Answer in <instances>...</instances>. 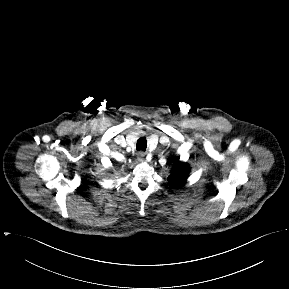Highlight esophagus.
I'll list each match as a JSON object with an SVG mask.
<instances>
[{
    "instance_id": "obj_1",
    "label": "esophagus",
    "mask_w": 289,
    "mask_h": 289,
    "mask_svg": "<svg viewBox=\"0 0 289 289\" xmlns=\"http://www.w3.org/2000/svg\"><path fill=\"white\" fill-rule=\"evenodd\" d=\"M145 155H146V154H145V152H143V151L138 152V153H137V158H138V160H139V161H143Z\"/></svg>"
}]
</instances>
